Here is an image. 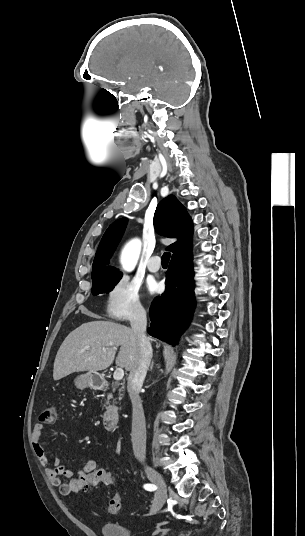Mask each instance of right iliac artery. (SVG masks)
I'll use <instances>...</instances> for the list:
<instances>
[{
  "label": "right iliac artery",
  "mask_w": 305,
  "mask_h": 536,
  "mask_svg": "<svg viewBox=\"0 0 305 536\" xmlns=\"http://www.w3.org/2000/svg\"><path fill=\"white\" fill-rule=\"evenodd\" d=\"M144 488H145L146 490H148V491H154V490L157 489V486L154 485V484H145V485H144Z\"/></svg>",
  "instance_id": "1"
}]
</instances>
